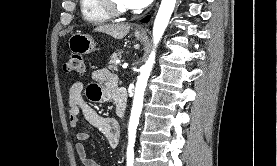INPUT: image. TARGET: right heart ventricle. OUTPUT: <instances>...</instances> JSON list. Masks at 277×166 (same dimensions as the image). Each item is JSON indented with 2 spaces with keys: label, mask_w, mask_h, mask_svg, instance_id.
<instances>
[{
  "label": "right heart ventricle",
  "mask_w": 277,
  "mask_h": 166,
  "mask_svg": "<svg viewBox=\"0 0 277 166\" xmlns=\"http://www.w3.org/2000/svg\"><path fill=\"white\" fill-rule=\"evenodd\" d=\"M80 10L83 18L94 24H102L111 19L96 0H80Z\"/></svg>",
  "instance_id": "e07e8e85"
}]
</instances>
